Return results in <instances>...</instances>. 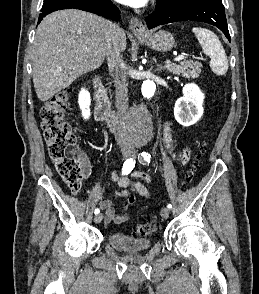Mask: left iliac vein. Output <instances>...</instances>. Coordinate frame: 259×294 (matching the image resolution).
Returning a JSON list of instances; mask_svg holds the SVG:
<instances>
[{
  "instance_id": "1",
  "label": "left iliac vein",
  "mask_w": 259,
  "mask_h": 294,
  "mask_svg": "<svg viewBox=\"0 0 259 294\" xmlns=\"http://www.w3.org/2000/svg\"><path fill=\"white\" fill-rule=\"evenodd\" d=\"M131 156H132L133 158H135V157H136V152H135V151H132V152H131ZM161 216H162L164 219H167V218L169 217V209L166 208V207H163V208L161 209Z\"/></svg>"
}]
</instances>
